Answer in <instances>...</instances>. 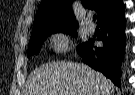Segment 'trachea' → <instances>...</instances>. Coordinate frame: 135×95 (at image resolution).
<instances>
[{"mask_svg":"<svg viewBox=\"0 0 135 95\" xmlns=\"http://www.w3.org/2000/svg\"><path fill=\"white\" fill-rule=\"evenodd\" d=\"M96 18H97V16H96V15H94V16H93V20H96Z\"/></svg>","mask_w":135,"mask_h":95,"instance_id":"1","label":"trachea"}]
</instances>
